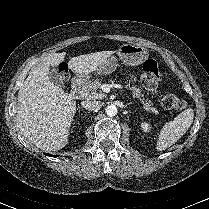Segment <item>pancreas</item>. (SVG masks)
<instances>
[{
    "mask_svg": "<svg viewBox=\"0 0 209 209\" xmlns=\"http://www.w3.org/2000/svg\"><path fill=\"white\" fill-rule=\"evenodd\" d=\"M129 82H135L136 78L134 76H131V78L128 80ZM129 88L133 91V97L138 98L141 103L143 104V108L148 112H153L155 114L158 113L157 109L153 107V103L151 101H147L144 96L141 94V91L139 88H137L136 85L130 86L128 83ZM102 84L99 80H95L92 82L87 90L84 93V97L87 100H101L105 97V94L101 91Z\"/></svg>",
    "mask_w": 209,
    "mask_h": 209,
    "instance_id": "obj_1",
    "label": "pancreas"
}]
</instances>
